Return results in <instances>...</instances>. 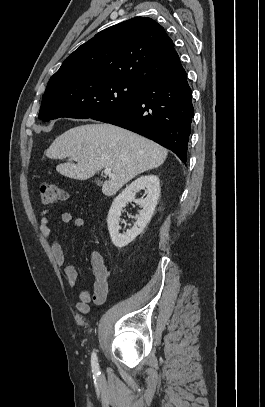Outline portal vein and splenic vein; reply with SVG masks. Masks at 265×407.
<instances>
[{"label": "portal vein and splenic vein", "mask_w": 265, "mask_h": 407, "mask_svg": "<svg viewBox=\"0 0 265 407\" xmlns=\"http://www.w3.org/2000/svg\"><path fill=\"white\" fill-rule=\"evenodd\" d=\"M104 173H105L106 175H109L110 177H114V175L112 174L110 168H105Z\"/></svg>", "instance_id": "portal-vein-and-splenic-vein-1"}]
</instances>
